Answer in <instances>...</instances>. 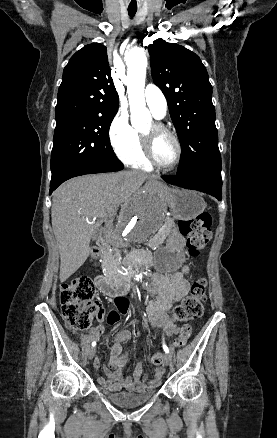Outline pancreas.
<instances>
[{
	"mask_svg": "<svg viewBox=\"0 0 277 438\" xmlns=\"http://www.w3.org/2000/svg\"><path fill=\"white\" fill-rule=\"evenodd\" d=\"M168 236L167 228H158L157 235H154L152 239H146L145 246L146 248H158L159 244L163 242V237ZM104 266L109 267L110 270H117L119 267L118 254L116 251H107L105 254Z\"/></svg>",
	"mask_w": 277,
	"mask_h": 438,
	"instance_id": "pancreas-1",
	"label": "pancreas"
}]
</instances>
